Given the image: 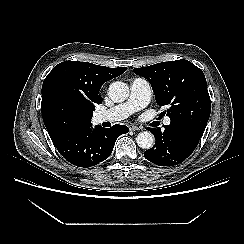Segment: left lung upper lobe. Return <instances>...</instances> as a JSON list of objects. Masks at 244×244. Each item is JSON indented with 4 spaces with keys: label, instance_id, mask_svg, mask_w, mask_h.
<instances>
[{
    "label": "left lung upper lobe",
    "instance_id": "obj_1",
    "mask_svg": "<svg viewBox=\"0 0 244 244\" xmlns=\"http://www.w3.org/2000/svg\"><path fill=\"white\" fill-rule=\"evenodd\" d=\"M133 72L150 82L159 106H170L167 110L170 125L203 133L210 116L211 101L201 69L182 59L134 68Z\"/></svg>",
    "mask_w": 244,
    "mask_h": 244
}]
</instances>
